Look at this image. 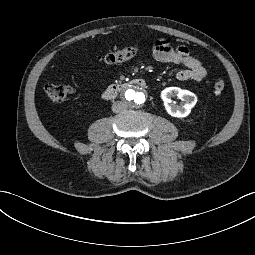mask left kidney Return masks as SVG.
Here are the masks:
<instances>
[{
	"instance_id": "left-kidney-1",
	"label": "left kidney",
	"mask_w": 255,
	"mask_h": 255,
	"mask_svg": "<svg viewBox=\"0 0 255 255\" xmlns=\"http://www.w3.org/2000/svg\"><path fill=\"white\" fill-rule=\"evenodd\" d=\"M172 97H177L183 102L178 106L171 100ZM161 98L164 102V106L168 114L173 117H186L189 115L191 109L197 102V97L194 93L188 90H182L178 87H168L161 92Z\"/></svg>"
}]
</instances>
